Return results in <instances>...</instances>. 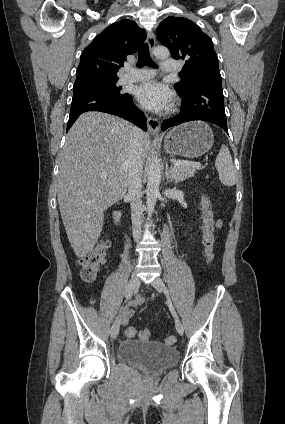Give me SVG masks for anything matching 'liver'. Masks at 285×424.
I'll return each mask as SVG.
<instances>
[{
	"label": "liver",
	"instance_id": "obj_1",
	"mask_svg": "<svg viewBox=\"0 0 285 424\" xmlns=\"http://www.w3.org/2000/svg\"><path fill=\"white\" fill-rule=\"evenodd\" d=\"M134 128L124 119L92 111L82 114L66 135L59 154L57 197L69 242L79 258L98 241L104 211L126 194V159ZM149 146L143 133V158Z\"/></svg>",
	"mask_w": 285,
	"mask_h": 424
}]
</instances>
